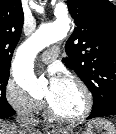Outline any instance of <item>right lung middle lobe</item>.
Wrapping results in <instances>:
<instances>
[{
	"mask_svg": "<svg viewBox=\"0 0 116 134\" xmlns=\"http://www.w3.org/2000/svg\"><path fill=\"white\" fill-rule=\"evenodd\" d=\"M9 70L0 71V116L9 113L13 108L7 102L5 91L9 79Z\"/></svg>",
	"mask_w": 116,
	"mask_h": 134,
	"instance_id": "1",
	"label": "right lung middle lobe"
}]
</instances>
